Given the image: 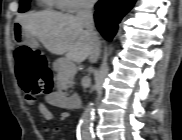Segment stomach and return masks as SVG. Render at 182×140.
<instances>
[{"label": "stomach", "mask_w": 182, "mask_h": 140, "mask_svg": "<svg viewBox=\"0 0 182 140\" xmlns=\"http://www.w3.org/2000/svg\"><path fill=\"white\" fill-rule=\"evenodd\" d=\"M10 26L15 31L14 43L15 44H26L30 47H36L38 45L37 38L32 37V31H18L26 30V25L22 22H11Z\"/></svg>", "instance_id": "0dacf381"}]
</instances>
